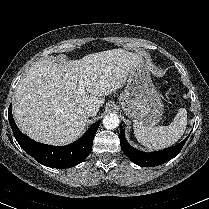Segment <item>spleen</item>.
<instances>
[{
  "mask_svg": "<svg viewBox=\"0 0 209 209\" xmlns=\"http://www.w3.org/2000/svg\"><path fill=\"white\" fill-rule=\"evenodd\" d=\"M187 125V111L180 108L168 126L145 127L133 123L134 134L139 143L149 149H163L176 143L183 135Z\"/></svg>",
  "mask_w": 209,
  "mask_h": 209,
  "instance_id": "obj_1",
  "label": "spleen"
}]
</instances>
